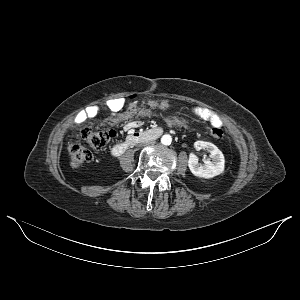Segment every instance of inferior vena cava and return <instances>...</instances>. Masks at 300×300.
<instances>
[{"label": "inferior vena cava", "mask_w": 300, "mask_h": 300, "mask_svg": "<svg viewBox=\"0 0 300 300\" xmlns=\"http://www.w3.org/2000/svg\"><path fill=\"white\" fill-rule=\"evenodd\" d=\"M156 143L155 139H148V140H143L142 144L143 145H154Z\"/></svg>", "instance_id": "1"}]
</instances>
